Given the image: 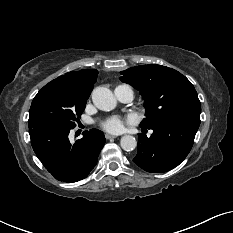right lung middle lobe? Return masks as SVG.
Returning a JSON list of instances; mask_svg holds the SVG:
<instances>
[{
	"instance_id": "1",
	"label": "right lung middle lobe",
	"mask_w": 233,
	"mask_h": 233,
	"mask_svg": "<svg viewBox=\"0 0 233 233\" xmlns=\"http://www.w3.org/2000/svg\"><path fill=\"white\" fill-rule=\"evenodd\" d=\"M88 97L70 92L57 83H48L34 97L28 126L40 123L74 128L85 109Z\"/></svg>"
}]
</instances>
